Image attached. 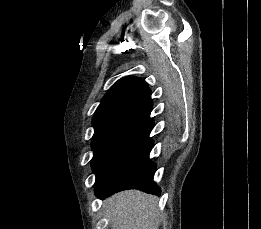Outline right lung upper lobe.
I'll use <instances>...</instances> for the list:
<instances>
[{"instance_id": "right-lung-upper-lobe-1", "label": "right lung upper lobe", "mask_w": 261, "mask_h": 229, "mask_svg": "<svg viewBox=\"0 0 261 229\" xmlns=\"http://www.w3.org/2000/svg\"><path fill=\"white\" fill-rule=\"evenodd\" d=\"M151 110V91L144 79H120L103 97L93 117V148H130L136 132L152 129Z\"/></svg>"}]
</instances>
